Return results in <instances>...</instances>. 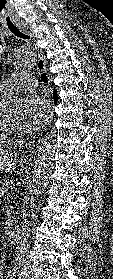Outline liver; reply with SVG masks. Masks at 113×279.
<instances>
[{"mask_svg":"<svg viewBox=\"0 0 113 279\" xmlns=\"http://www.w3.org/2000/svg\"><path fill=\"white\" fill-rule=\"evenodd\" d=\"M18 161L17 154L12 152L0 151V172H9L15 169Z\"/></svg>","mask_w":113,"mask_h":279,"instance_id":"1","label":"liver"}]
</instances>
